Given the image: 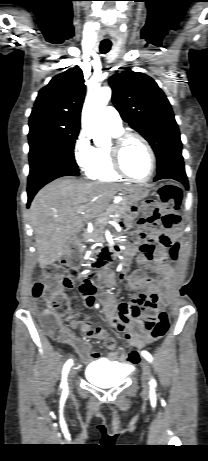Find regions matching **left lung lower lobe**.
<instances>
[{"instance_id":"0a47b994","label":"left lung lower lobe","mask_w":208,"mask_h":461,"mask_svg":"<svg viewBox=\"0 0 208 461\" xmlns=\"http://www.w3.org/2000/svg\"><path fill=\"white\" fill-rule=\"evenodd\" d=\"M160 179H174L181 182L186 189L189 188L187 176L185 173L184 162L183 159H178L175 161L170 162L168 165L163 167L160 171H158L154 181Z\"/></svg>"}]
</instances>
